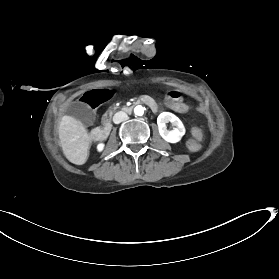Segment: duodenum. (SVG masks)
I'll list each match as a JSON object with an SVG mask.
<instances>
[{
	"mask_svg": "<svg viewBox=\"0 0 279 279\" xmlns=\"http://www.w3.org/2000/svg\"><path fill=\"white\" fill-rule=\"evenodd\" d=\"M138 101L141 105H144L148 102L156 113H159L161 111L159 104L149 95L141 96L140 98H138ZM138 101H135V104H138ZM133 106H134V103H131L130 106L124 105L122 107V110L125 113H131L133 111ZM112 127H113V124L110 121H107V124L105 125L103 130H102V128H100L98 126H95V127L91 128L89 135H90L91 139H93L95 141H98L100 139L102 141H105L107 139L106 135L112 129Z\"/></svg>",
	"mask_w": 279,
	"mask_h": 279,
	"instance_id": "duodenum-1",
	"label": "duodenum"
}]
</instances>
